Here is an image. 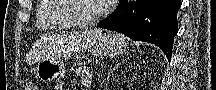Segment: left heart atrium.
<instances>
[{
  "mask_svg": "<svg viewBox=\"0 0 216 90\" xmlns=\"http://www.w3.org/2000/svg\"><path fill=\"white\" fill-rule=\"evenodd\" d=\"M97 3H119V0H97Z\"/></svg>",
  "mask_w": 216,
  "mask_h": 90,
  "instance_id": "left-heart-atrium-1",
  "label": "left heart atrium"
}]
</instances>
